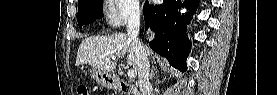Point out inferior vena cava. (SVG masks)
Segmentation results:
<instances>
[{"label": "inferior vena cava", "instance_id": "inferior-vena-cava-1", "mask_svg": "<svg viewBox=\"0 0 277 95\" xmlns=\"http://www.w3.org/2000/svg\"><path fill=\"white\" fill-rule=\"evenodd\" d=\"M141 9L139 5L132 8L128 19L127 34L134 44L136 52V63L138 72V86L140 95H151V84L149 81V60L145 46L138 38L140 28Z\"/></svg>", "mask_w": 277, "mask_h": 95}]
</instances>
